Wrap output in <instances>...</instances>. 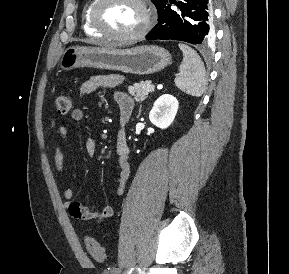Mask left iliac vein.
Listing matches in <instances>:
<instances>
[{"label": "left iliac vein", "mask_w": 289, "mask_h": 274, "mask_svg": "<svg viewBox=\"0 0 289 274\" xmlns=\"http://www.w3.org/2000/svg\"><path fill=\"white\" fill-rule=\"evenodd\" d=\"M121 273V270L119 268H113L111 270V274H120Z\"/></svg>", "instance_id": "4c4485c4"}]
</instances>
